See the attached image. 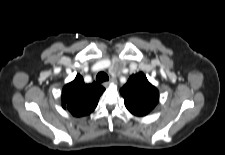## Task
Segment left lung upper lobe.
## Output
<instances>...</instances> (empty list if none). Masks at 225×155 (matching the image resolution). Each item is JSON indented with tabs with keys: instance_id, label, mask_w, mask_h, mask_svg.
Segmentation results:
<instances>
[{
	"instance_id": "obj_1",
	"label": "left lung upper lobe",
	"mask_w": 225,
	"mask_h": 155,
	"mask_svg": "<svg viewBox=\"0 0 225 155\" xmlns=\"http://www.w3.org/2000/svg\"><path fill=\"white\" fill-rule=\"evenodd\" d=\"M125 106L135 116L149 114L159 102V92L140 72L130 76L128 82L120 89Z\"/></svg>"
}]
</instances>
